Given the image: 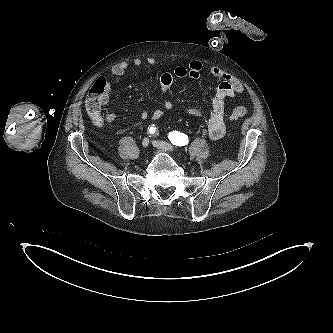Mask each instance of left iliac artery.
<instances>
[{
  "mask_svg": "<svg viewBox=\"0 0 333 333\" xmlns=\"http://www.w3.org/2000/svg\"><path fill=\"white\" fill-rule=\"evenodd\" d=\"M168 138L175 146H185L189 142L188 136L178 131L170 132Z\"/></svg>",
  "mask_w": 333,
  "mask_h": 333,
  "instance_id": "left-iliac-artery-1",
  "label": "left iliac artery"
}]
</instances>
